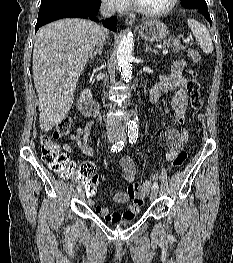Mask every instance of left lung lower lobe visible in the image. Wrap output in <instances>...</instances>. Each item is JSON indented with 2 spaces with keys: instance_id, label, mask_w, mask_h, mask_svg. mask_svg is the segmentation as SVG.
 <instances>
[{
  "instance_id": "0a47b994",
  "label": "left lung lower lobe",
  "mask_w": 233,
  "mask_h": 263,
  "mask_svg": "<svg viewBox=\"0 0 233 263\" xmlns=\"http://www.w3.org/2000/svg\"><path fill=\"white\" fill-rule=\"evenodd\" d=\"M197 11H199L200 13H202L205 18L210 22L211 24V18H210V15H209V12L207 10V8H203V9H196Z\"/></svg>"
}]
</instances>
